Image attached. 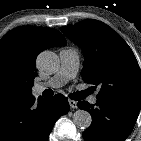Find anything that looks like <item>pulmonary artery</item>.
I'll use <instances>...</instances> for the list:
<instances>
[{
    "label": "pulmonary artery",
    "instance_id": "pulmonary-artery-1",
    "mask_svg": "<svg viewBox=\"0 0 141 141\" xmlns=\"http://www.w3.org/2000/svg\"><path fill=\"white\" fill-rule=\"evenodd\" d=\"M61 66L58 72L47 82L39 83L34 86V93L40 94L47 88H59L73 79L79 68V54L73 48L62 49L59 53ZM97 96L93 95L90 98L91 103H96Z\"/></svg>",
    "mask_w": 141,
    "mask_h": 141
}]
</instances>
